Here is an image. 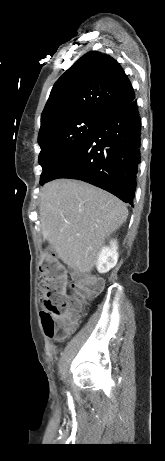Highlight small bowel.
<instances>
[{
    "mask_svg": "<svg viewBox=\"0 0 165 461\" xmlns=\"http://www.w3.org/2000/svg\"><path fill=\"white\" fill-rule=\"evenodd\" d=\"M96 281L100 283V288L104 285L103 279H96ZM66 317L68 318L69 316L67 315ZM67 318L65 319L66 321L68 320Z\"/></svg>",
    "mask_w": 165,
    "mask_h": 461,
    "instance_id": "obj_1",
    "label": "small bowel"
}]
</instances>
